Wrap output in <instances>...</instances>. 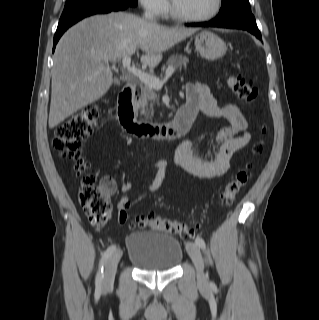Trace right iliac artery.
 <instances>
[{
	"label": "right iliac artery",
	"instance_id": "1",
	"mask_svg": "<svg viewBox=\"0 0 319 320\" xmlns=\"http://www.w3.org/2000/svg\"><path fill=\"white\" fill-rule=\"evenodd\" d=\"M116 250V246L115 245H111L110 247H108L106 249V251L103 253L101 261H100V265H99V271L97 273L96 276V287L100 288L102 286L103 283V278H104V274H103V267L105 262L107 261V259L113 254V252Z\"/></svg>",
	"mask_w": 319,
	"mask_h": 320
}]
</instances>
